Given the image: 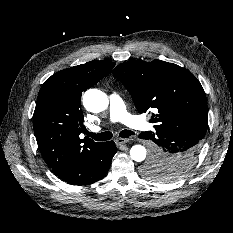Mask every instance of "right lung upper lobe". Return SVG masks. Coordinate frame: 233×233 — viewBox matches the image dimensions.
<instances>
[{
    "mask_svg": "<svg viewBox=\"0 0 233 233\" xmlns=\"http://www.w3.org/2000/svg\"><path fill=\"white\" fill-rule=\"evenodd\" d=\"M114 65L90 61L61 70L42 85L33 126L40 152L56 175L100 144L88 137L79 138L84 128L80 99L82 92L105 77Z\"/></svg>",
    "mask_w": 233,
    "mask_h": 233,
    "instance_id": "right-lung-upper-lobe-1",
    "label": "right lung upper lobe"
}]
</instances>
